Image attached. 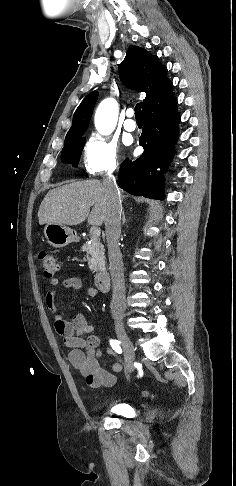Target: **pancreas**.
I'll return each instance as SVG.
<instances>
[{
  "label": "pancreas",
  "instance_id": "pancreas-1",
  "mask_svg": "<svg viewBox=\"0 0 236 486\" xmlns=\"http://www.w3.org/2000/svg\"><path fill=\"white\" fill-rule=\"evenodd\" d=\"M82 250L86 252L91 272H103L106 270L104 246L98 237H92L91 243L86 242L83 244Z\"/></svg>",
  "mask_w": 236,
  "mask_h": 486
}]
</instances>
